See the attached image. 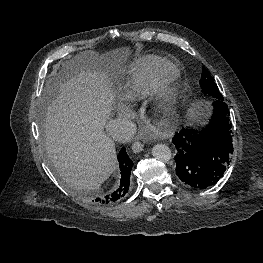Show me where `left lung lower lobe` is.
<instances>
[{"label":"left lung lower lobe","mask_w":263,"mask_h":263,"mask_svg":"<svg viewBox=\"0 0 263 263\" xmlns=\"http://www.w3.org/2000/svg\"><path fill=\"white\" fill-rule=\"evenodd\" d=\"M213 115L206 127L187 126L172 139L176 174L185 184L205 189L218 182L233 152L230 112L223 98L213 102Z\"/></svg>","instance_id":"obj_1"}]
</instances>
